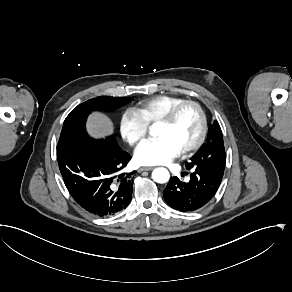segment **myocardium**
Segmentation results:
<instances>
[{"label": "myocardium", "mask_w": 292, "mask_h": 292, "mask_svg": "<svg viewBox=\"0 0 292 292\" xmlns=\"http://www.w3.org/2000/svg\"><path fill=\"white\" fill-rule=\"evenodd\" d=\"M186 106H192L197 111L198 116H199V131H198V135H197L195 141L192 144L184 147L181 150V152L183 154H187L189 152L197 150L202 145V143L204 141V138L206 135V130H207V122H206V117H205V114H204L202 107L197 102H195L193 100H183L181 102H178V103L172 105L156 121V123L169 124L175 120L179 111L183 107H186Z\"/></svg>", "instance_id": "f54148a6"}]
</instances>
